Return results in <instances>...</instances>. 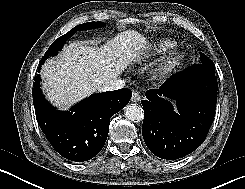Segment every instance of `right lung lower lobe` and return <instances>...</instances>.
Masks as SVG:
<instances>
[{
	"mask_svg": "<svg viewBox=\"0 0 245 189\" xmlns=\"http://www.w3.org/2000/svg\"><path fill=\"white\" fill-rule=\"evenodd\" d=\"M39 65L41 67L42 64ZM40 81L37 74L32 94L36 119L42 132L62 157L75 162L90 160L103 148L110 118L129 103L132 91L123 88L94 94L70 111L61 112L46 101Z\"/></svg>",
	"mask_w": 245,
	"mask_h": 189,
	"instance_id": "1",
	"label": "right lung lower lobe"
}]
</instances>
